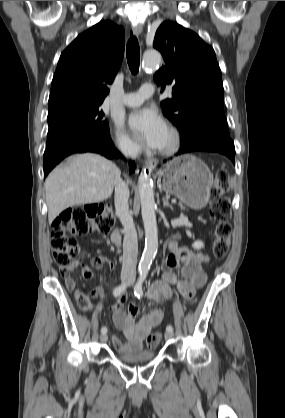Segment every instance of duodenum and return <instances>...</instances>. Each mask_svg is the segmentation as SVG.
Listing matches in <instances>:
<instances>
[{
    "instance_id": "1",
    "label": "duodenum",
    "mask_w": 285,
    "mask_h": 418,
    "mask_svg": "<svg viewBox=\"0 0 285 418\" xmlns=\"http://www.w3.org/2000/svg\"><path fill=\"white\" fill-rule=\"evenodd\" d=\"M111 239L113 241V243L117 246L120 245V241H121V234L119 231H114L111 235Z\"/></svg>"
}]
</instances>
